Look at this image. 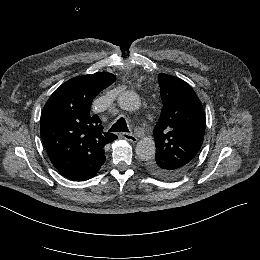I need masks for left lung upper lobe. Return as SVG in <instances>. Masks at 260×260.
Masks as SVG:
<instances>
[{
	"mask_svg": "<svg viewBox=\"0 0 260 260\" xmlns=\"http://www.w3.org/2000/svg\"><path fill=\"white\" fill-rule=\"evenodd\" d=\"M163 109L153 130L156 154L150 173L167 179L182 175L195 161L205 132L203 106L185 81L158 76Z\"/></svg>",
	"mask_w": 260,
	"mask_h": 260,
	"instance_id": "1",
	"label": "left lung upper lobe"
}]
</instances>
